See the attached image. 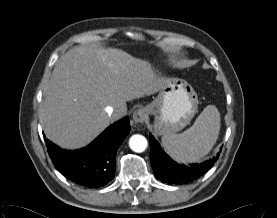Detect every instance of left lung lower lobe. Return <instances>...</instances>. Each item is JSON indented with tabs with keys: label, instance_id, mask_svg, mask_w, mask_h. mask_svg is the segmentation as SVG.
<instances>
[{
	"label": "left lung lower lobe",
	"instance_id": "1",
	"mask_svg": "<svg viewBox=\"0 0 277 218\" xmlns=\"http://www.w3.org/2000/svg\"><path fill=\"white\" fill-rule=\"evenodd\" d=\"M150 145V159L155 176L162 182L170 184H182L195 180L211 169L217 160L213 157L201 164L179 165L169 158L152 135H150Z\"/></svg>",
	"mask_w": 277,
	"mask_h": 218
}]
</instances>
